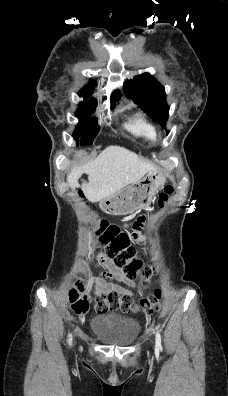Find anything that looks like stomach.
I'll list each match as a JSON object with an SVG mask.
<instances>
[{"instance_id":"obj_1","label":"stomach","mask_w":228,"mask_h":396,"mask_svg":"<svg viewBox=\"0 0 228 396\" xmlns=\"http://www.w3.org/2000/svg\"><path fill=\"white\" fill-rule=\"evenodd\" d=\"M166 177L159 171L146 174L139 181L99 201L100 208L109 215H126L148 207Z\"/></svg>"}]
</instances>
